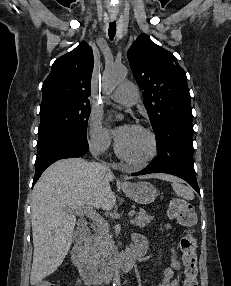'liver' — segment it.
I'll use <instances>...</instances> for the list:
<instances>
[{"label": "liver", "instance_id": "obj_1", "mask_svg": "<svg viewBox=\"0 0 231 286\" xmlns=\"http://www.w3.org/2000/svg\"><path fill=\"white\" fill-rule=\"evenodd\" d=\"M141 178L173 180L166 174ZM114 175L101 164L82 158L62 159L49 166L35 184L31 201L33 263L31 285H36L62 264L71 244L76 217L73 210L87 206L111 210L116 197Z\"/></svg>", "mask_w": 231, "mask_h": 286}]
</instances>
